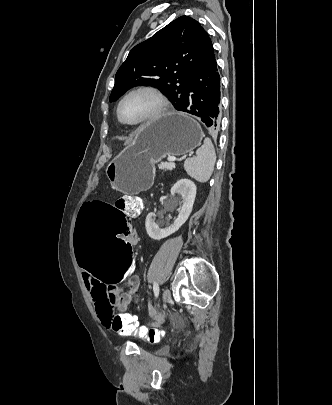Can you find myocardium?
I'll return each instance as SVG.
<instances>
[{
	"label": "myocardium",
	"instance_id": "1",
	"mask_svg": "<svg viewBox=\"0 0 332 405\" xmlns=\"http://www.w3.org/2000/svg\"><path fill=\"white\" fill-rule=\"evenodd\" d=\"M142 91L149 92L155 96V98L157 99V102H158L157 108L155 109V111L152 114H150L149 116H147L143 119H140L137 121L125 120L121 114V106H122L124 100L127 97H129L130 95L137 93V92H142ZM167 110H168L167 98L158 88L151 86V85H140V86H137V87L131 89L130 91H128L127 93H125L122 96V98L118 102L116 113H117V117H118L119 121L122 122L123 124L129 125V126H138V125H143V124H147V123L158 120L160 117H162L166 113Z\"/></svg>",
	"mask_w": 332,
	"mask_h": 405
}]
</instances>
